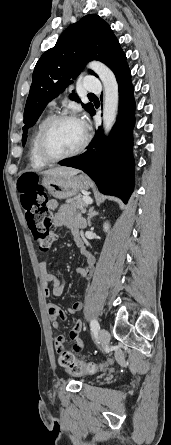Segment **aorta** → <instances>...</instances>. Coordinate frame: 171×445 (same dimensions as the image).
I'll use <instances>...</instances> for the list:
<instances>
[{
    "label": "aorta",
    "mask_w": 171,
    "mask_h": 445,
    "mask_svg": "<svg viewBox=\"0 0 171 445\" xmlns=\"http://www.w3.org/2000/svg\"><path fill=\"white\" fill-rule=\"evenodd\" d=\"M89 67L99 76L104 87L103 126L105 133L111 130L117 114L119 92L114 73L103 63L93 61Z\"/></svg>",
    "instance_id": "1"
}]
</instances>
